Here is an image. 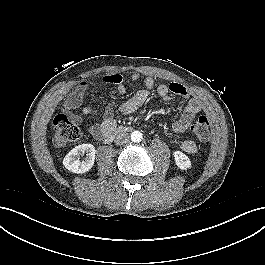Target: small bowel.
<instances>
[{"instance_id":"c3829d8e","label":"small bowel","mask_w":265,"mask_h":265,"mask_svg":"<svg viewBox=\"0 0 265 265\" xmlns=\"http://www.w3.org/2000/svg\"><path fill=\"white\" fill-rule=\"evenodd\" d=\"M131 79L132 81L137 82L141 79V75L134 73L132 74ZM106 81L115 84L119 94H124L126 92V86L123 83V77L120 74L109 75L106 77ZM87 86L88 83L86 81H82L76 89L69 93L65 100V108L71 113V116L75 121H80V116L75 113V110L78 109L82 104ZM154 88V78L147 76L144 79V88L138 90L130 99L119 105L118 111L122 115H128L136 112L145 104ZM156 92L164 100H170L172 95H176L185 99L189 97V92L186 87L179 83L159 84L156 87ZM201 111L202 105L197 98L188 99L182 115L172 125L173 132L175 134L185 133L191 121ZM91 112V106H84L82 108V114L84 115H88ZM115 125L116 122L112 113L107 112L103 115L100 123L91 126L89 131L94 137H99L103 132L112 131L115 128ZM180 148L188 154H194L197 151V145L191 139H183L180 142Z\"/></svg>"}]
</instances>
